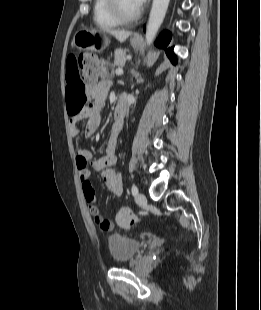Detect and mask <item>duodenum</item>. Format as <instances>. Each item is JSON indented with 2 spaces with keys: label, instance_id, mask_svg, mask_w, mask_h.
Here are the masks:
<instances>
[{
  "label": "duodenum",
  "instance_id": "1",
  "mask_svg": "<svg viewBox=\"0 0 261 310\" xmlns=\"http://www.w3.org/2000/svg\"><path fill=\"white\" fill-rule=\"evenodd\" d=\"M126 112H127V99L125 97H120L114 109L115 123L117 124L119 129L122 127V121Z\"/></svg>",
  "mask_w": 261,
  "mask_h": 310
}]
</instances>
